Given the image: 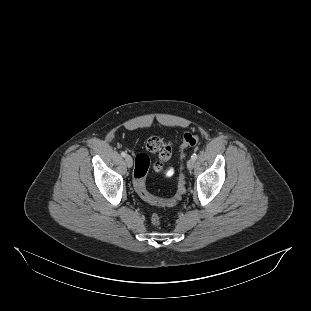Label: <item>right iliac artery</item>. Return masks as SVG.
<instances>
[{
  "label": "right iliac artery",
  "instance_id": "obj_1",
  "mask_svg": "<svg viewBox=\"0 0 311 311\" xmlns=\"http://www.w3.org/2000/svg\"><path fill=\"white\" fill-rule=\"evenodd\" d=\"M121 155H122L123 157H125V156H126V152L122 151V152H121Z\"/></svg>",
  "mask_w": 311,
  "mask_h": 311
}]
</instances>
